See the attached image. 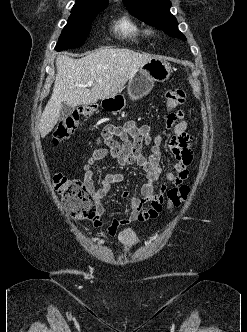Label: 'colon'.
I'll use <instances>...</instances> for the list:
<instances>
[{
  "mask_svg": "<svg viewBox=\"0 0 247 332\" xmlns=\"http://www.w3.org/2000/svg\"><path fill=\"white\" fill-rule=\"evenodd\" d=\"M185 101L186 94L183 89L169 88L166 90L165 103L168 110L172 111L177 109L183 105ZM93 111L94 108L92 106L85 105L79 108L78 111L64 118L53 131V143L58 145L67 140L81 126V119L91 116ZM54 185L72 217L76 219L95 218L96 205L80 180L58 173L54 175ZM189 191V187L185 185L179 188L169 189L166 194L167 207L169 209L178 207L187 199Z\"/></svg>",
  "mask_w": 247,
  "mask_h": 332,
  "instance_id": "obj_1",
  "label": "colon"
}]
</instances>
